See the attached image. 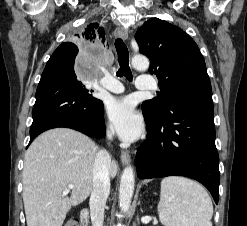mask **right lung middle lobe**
<instances>
[{"mask_svg": "<svg viewBox=\"0 0 247 226\" xmlns=\"http://www.w3.org/2000/svg\"><path fill=\"white\" fill-rule=\"evenodd\" d=\"M73 61H75V58L74 57H70Z\"/></svg>", "mask_w": 247, "mask_h": 226, "instance_id": "dd1d6c3e", "label": "right lung middle lobe"}]
</instances>
